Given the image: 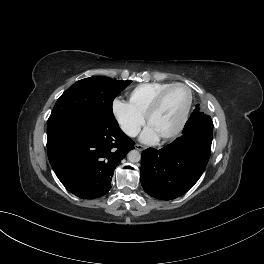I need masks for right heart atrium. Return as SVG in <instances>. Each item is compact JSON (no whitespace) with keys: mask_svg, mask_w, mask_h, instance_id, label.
<instances>
[{"mask_svg":"<svg viewBox=\"0 0 264 264\" xmlns=\"http://www.w3.org/2000/svg\"><path fill=\"white\" fill-rule=\"evenodd\" d=\"M113 114L119 127L129 137H134L144 123L142 115L137 113L128 102L116 99L113 102Z\"/></svg>","mask_w":264,"mask_h":264,"instance_id":"d8ad5b80","label":"right heart atrium"}]
</instances>
